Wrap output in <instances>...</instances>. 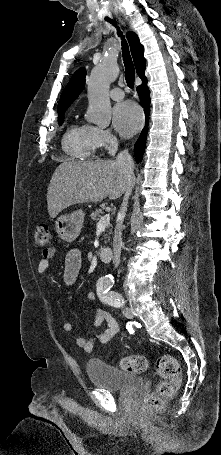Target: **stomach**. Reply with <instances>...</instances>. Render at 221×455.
<instances>
[{
  "label": "stomach",
  "instance_id": "0dacf381",
  "mask_svg": "<svg viewBox=\"0 0 221 455\" xmlns=\"http://www.w3.org/2000/svg\"><path fill=\"white\" fill-rule=\"evenodd\" d=\"M85 213L82 210H76L68 215H61L55 222V229L58 236L66 241L73 242L79 236Z\"/></svg>",
  "mask_w": 221,
  "mask_h": 455
}]
</instances>
